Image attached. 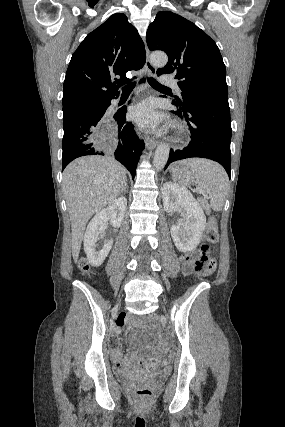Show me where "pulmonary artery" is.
Masks as SVG:
<instances>
[{"label":"pulmonary artery","instance_id":"obj_1","mask_svg":"<svg viewBox=\"0 0 285 427\" xmlns=\"http://www.w3.org/2000/svg\"><path fill=\"white\" fill-rule=\"evenodd\" d=\"M161 81L164 85H167V86H172V85L177 86V81L174 78L170 77L169 75H163L161 77Z\"/></svg>","mask_w":285,"mask_h":427}]
</instances>
